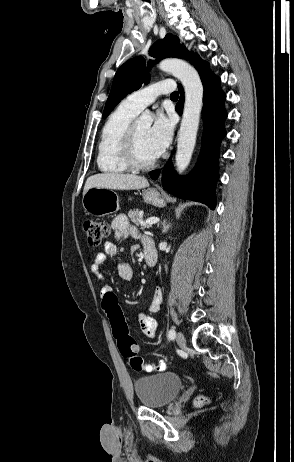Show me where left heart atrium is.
Wrapping results in <instances>:
<instances>
[{"mask_svg":"<svg viewBox=\"0 0 294 462\" xmlns=\"http://www.w3.org/2000/svg\"><path fill=\"white\" fill-rule=\"evenodd\" d=\"M173 121L163 113L155 116L152 126L149 128L148 138L157 156H160L171 142L173 135Z\"/></svg>","mask_w":294,"mask_h":462,"instance_id":"obj_1","label":"left heart atrium"}]
</instances>
